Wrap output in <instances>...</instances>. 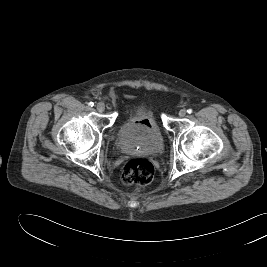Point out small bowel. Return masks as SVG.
Wrapping results in <instances>:
<instances>
[{
	"instance_id": "c3829d8e",
	"label": "small bowel",
	"mask_w": 267,
	"mask_h": 267,
	"mask_svg": "<svg viewBox=\"0 0 267 267\" xmlns=\"http://www.w3.org/2000/svg\"><path fill=\"white\" fill-rule=\"evenodd\" d=\"M135 125L138 129L146 132L150 131L153 127L152 121L149 119H140L135 122Z\"/></svg>"
}]
</instances>
